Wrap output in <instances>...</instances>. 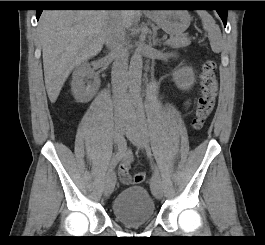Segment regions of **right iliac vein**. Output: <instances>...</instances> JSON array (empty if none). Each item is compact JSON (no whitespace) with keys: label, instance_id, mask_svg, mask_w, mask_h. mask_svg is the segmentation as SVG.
<instances>
[{"label":"right iliac vein","instance_id":"1","mask_svg":"<svg viewBox=\"0 0 265 245\" xmlns=\"http://www.w3.org/2000/svg\"><path fill=\"white\" fill-rule=\"evenodd\" d=\"M127 127V122L124 120H117L115 122V129H114V142L115 144L119 143L122 140V135ZM115 173L110 172L104 182V195L106 197L110 196L114 190L115 187Z\"/></svg>","mask_w":265,"mask_h":245}]
</instances>
